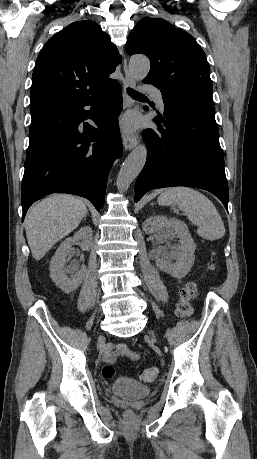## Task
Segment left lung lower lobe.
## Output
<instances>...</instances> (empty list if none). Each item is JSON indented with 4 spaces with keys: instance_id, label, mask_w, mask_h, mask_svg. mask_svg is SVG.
Masks as SVG:
<instances>
[{
    "instance_id": "obj_1",
    "label": "left lung lower lobe",
    "mask_w": 257,
    "mask_h": 459,
    "mask_svg": "<svg viewBox=\"0 0 257 459\" xmlns=\"http://www.w3.org/2000/svg\"><path fill=\"white\" fill-rule=\"evenodd\" d=\"M161 93L164 116L153 119L157 129L142 134L148 154L135 184V202L152 189L190 186L213 193L228 211L224 157L211 94Z\"/></svg>"
}]
</instances>
